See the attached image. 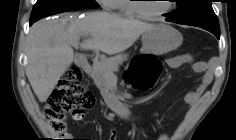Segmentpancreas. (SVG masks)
Segmentation results:
<instances>
[{
	"label": "pancreas",
	"mask_w": 236,
	"mask_h": 140,
	"mask_svg": "<svg viewBox=\"0 0 236 140\" xmlns=\"http://www.w3.org/2000/svg\"><path fill=\"white\" fill-rule=\"evenodd\" d=\"M126 59V56H117L94 61L90 75L100 90L105 91L110 96L114 95L110 79L114 76V72L118 71L119 65Z\"/></svg>",
	"instance_id": "cf45deb5"
}]
</instances>
